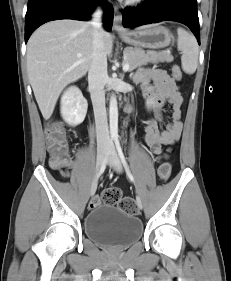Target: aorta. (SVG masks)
Segmentation results:
<instances>
[{
  "label": "aorta",
  "instance_id": "aorta-1",
  "mask_svg": "<svg viewBox=\"0 0 231 281\" xmlns=\"http://www.w3.org/2000/svg\"><path fill=\"white\" fill-rule=\"evenodd\" d=\"M109 121H110V134L112 137H117L118 136V106H117V99L114 94H112L110 98Z\"/></svg>",
  "mask_w": 231,
  "mask_h": 281
}]
</instances>
